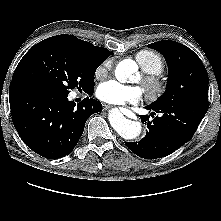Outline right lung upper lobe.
Here are the masks:
<instances>
[{
	"label": "right lung upper lobe",
	"instance_id": "cb5924a9",
	"mask_svg": "<svg viewBox=\"0 0 221 221\" xmlns=\"http://www.w3.org/2000/svg\"><path fill=\"white\" fill-rule=\"evenodd\" d=\"M48 39L66 44L80 54L99 64L104 62L109 57V55H112V52L106 48L94 46L90 42L80 40L73 35L63 34L53 36Z\"/></svg>",
	"mask_w": 221,
	"mask_h": 221
}]
</instances>
